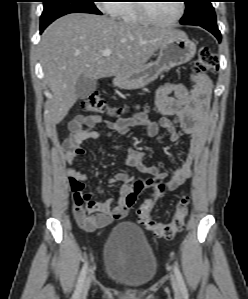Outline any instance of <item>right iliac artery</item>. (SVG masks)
Returning <instances> with one entry per match:
<instances>
[{"label": "right iliac artery", "instance_id": "82829eb1", "mask_svg": "<svg viewBox=\"0 0 248 299\" xmlns=\"http://www.w3.org/2000/svg\"><path fill=\"white\" fill-rule=\"evenodd\" d=\"M87 268H88V263L86 262L80 272L73 299H79L80 297V293L82 291V287L87 273Z\"/></svg>", "mask_w": 248, "mask_h": 299}]
</instances>
